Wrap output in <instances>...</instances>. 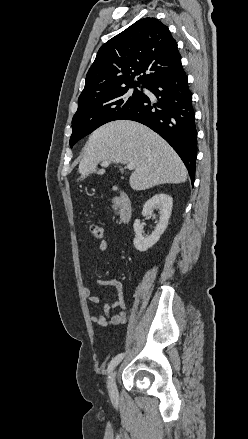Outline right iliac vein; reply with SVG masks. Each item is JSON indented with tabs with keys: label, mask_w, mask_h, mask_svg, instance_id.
Instances as JSON below:
<instances>
[{
	"label": "right iliac vein",
	"mask_w": 248,
	"mask_h": 439,
	"mask_svg": "<svg viewBox=\"0 0 248 439\" xmlns=\"http://www.w3.org/2000/svg\"><path fill=\"white\" fill-rule=\"evenodd\" d=\"M116 374H117V371L112 372L111 378L109 380V394L113 398L117 397V389H116V383H115Z\"/></svg>",
	"instance_id": "obj_1"
}]
</instances>
